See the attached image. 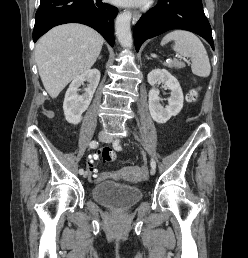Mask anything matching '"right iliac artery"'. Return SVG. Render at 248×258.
Here are the masks:
<instances>
[{"mask_svg":"<svg viewBox=\"0 0 248 258\" xmlns=\"http://www.w3.org/2000/svg\"><path fill=\"white\" fill-rule=\"evenodd\" d=\"M98 145H99V143L95 140L91 141L90 144H89L90 148H97ZM79 174H81V175L84 174V170L80 169Z\"/></svg>","mask_w":248,"mask_h":258,"instance_id":"1","label":"right iliac artery"}]
</instances>
